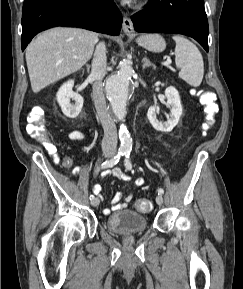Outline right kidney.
Returning <instances> with one entry per match:
<instances>
[{
	"mask_svg": "<svg viewBox=\"0 0 243 289\" xmlns=\"http://www.w3.org/2000/svg\"><path fill=\"white\" fill-rule=\"evenodd\" d=\"M74 81L69 80L64 83L57 92L56 98L63 114L69 118H76L82 110L83 98L78 93L73 92L72 88ZM74 100L75 103L71 104L70 100Z\"/></svg>",
	"mask_w": 243,
	"mask_h": 289,
	"instance_id": "1",
	"label": "right kidney"
}]
</instances>
